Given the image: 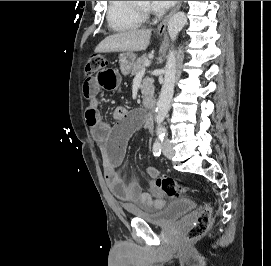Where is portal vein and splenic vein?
<instances>
[{
    "label": "portal vein and splenic vein",
    "instance_id": "portal-vein-and-splenic-vein-1",
    "mask_svg": "<svg viewBox=\"0 0 271 266\" xmlns=\"http://www.w3.org/2000/svg\"><path fill=\"white\" fill-rule=\"evenodd\" d=\"M150 65V62L149 61H146L145 63H144V66L145 67H148ZM145 72V68L142 70V71H140L139 72V74H143Z\"/></svg>",
    "mask_w": 271,
    "mask_h": 266
}]
</instances>
